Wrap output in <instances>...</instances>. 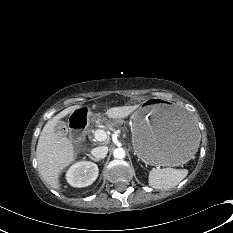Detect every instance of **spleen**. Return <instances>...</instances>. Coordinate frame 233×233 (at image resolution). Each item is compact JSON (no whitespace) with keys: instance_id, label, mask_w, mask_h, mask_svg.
Masks as SVG:
<instances>
[{"instance_id":"spleen-1","label":"spleen","mask_w":233,"mask_h":233,"mask_svg":"<svg viewBox=\"0 0 233 233\" xmlns=\"http://www.w3.org/2000/svg\"><path fill=\"white\" fill-rule=\"evenodd\" d=\"M187 173L186 169H153L149 173L148 183L155 189H170L178 185L186 177Z\"/></svg>"}]
</instances>
